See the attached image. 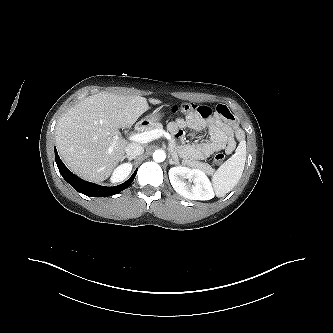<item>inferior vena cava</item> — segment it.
I'll use <instances>...</instances> for the list:
<instances>
[{
  "instance_id": "obj_1",
  "label": "inferior vena cava",
  "mask_w": 333,
  "mask_h": 333,
  "mask_svg": "<svg viewBox=\"0 0 333 333\" xmlns=\"http://www.w3.org/2000/svg\"><path fill=\"white\" fill-rule=\"evenodd\" d=\"M126 154L131 157H136L144 152V148L137 143H130L125 148Z\"/></svg>"
}]
</instances>
